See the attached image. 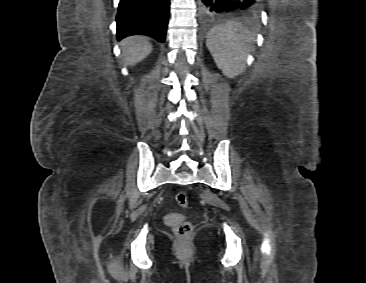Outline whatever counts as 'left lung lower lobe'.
Segmentation results:
<instances>
[{
  "instance_id": "obj_1",
  "label": "left lung lower lobe",
  "mask_w": 366,
  "mask_h": 283,
  "mask_svg": "<svg viewBox=\"0 0 366 283\" xmlns=\"http://www.w3.org/2000/svg\"><path fill=\"white\" fill-rule=\"evenodd\" d=\"M205 16L228 15L240 10L250 11L260 7V0H200Z\"/></svg>"
}]
</instances>
